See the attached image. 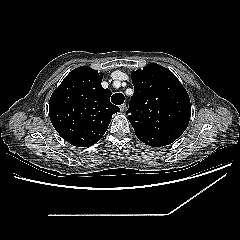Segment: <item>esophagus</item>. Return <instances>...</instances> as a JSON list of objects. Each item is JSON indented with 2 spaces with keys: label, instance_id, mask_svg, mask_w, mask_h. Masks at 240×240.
<instances>
[{
  "label": "esophagus",
  "instance_id": "esophagus-1",
  "mask_svg": "<svg viewBox=\"0 0 240 240\" xmlns=\"http://www.w3.org/2000/svg\"><path fill=\"white\" fill-rule=\"evenodd\" d=\"M120 110H121V112H124L126 110V104L125 103L120 105Z\"/></svg>",
  "mask_w": 240,
  "mask_h": 240
}]
</instances>
